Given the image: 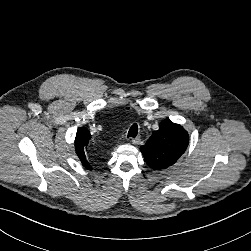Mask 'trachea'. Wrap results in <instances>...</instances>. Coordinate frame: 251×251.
<instances>
[{"instance_id": "3493384b", "label": "trachea", "mask_w": 251, "mask_h": 251, "mask_svg": "<svg viewBox=\"0 0 251 251\" xmlns=\"http://www.w3.org/2000/svg\"><path fill=\"white\" fill-rule=\"evenodd\" d=\"M137 133H138V125L134 123L128 131V137L135 138L137 136Z\"/></svg>"}]
</instances>
